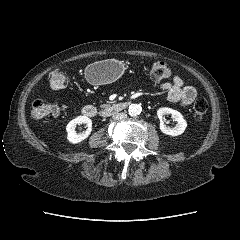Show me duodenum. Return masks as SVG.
Masks as SVG:
<instances>
[{"label": "duodenum", "mask_w": 240, "mask_h": 240, "mask_svg": "<svg viewBox=\"0 0 240 240\" xmlns=\"http://www.w3.org/2000/svg\"><path fill=\"white\" fill-rule=\"evenodd\" d=\"M129 106V102H116V103H111L107 105L105 108H103L101 111H98V109L92 105H85L82 108V114L86 117H95L98 114L102 116H110L114 113L121 112L125 110Z\"/></svg>", "instance_id": "410a0bca"}]
</instances>
